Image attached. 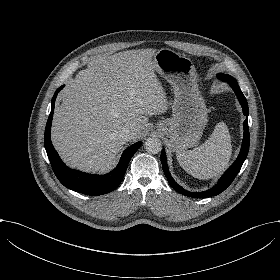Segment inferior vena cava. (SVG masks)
Masks as SVG:
<instances>
[{
    "label": "inferior vena cava",
    "mask_w": 280,
    "mask_h": 280,
    "mask_svg": "<svg viewBox=\"0 0 280 280\" xmlns=\"http://www.w3.org/2000/svg\"><path fill=\"white\" fill-rule=\"evenodd\" d=\"M118 137L127 142V141H130L133 139V134L132 132L130 131V129L128 128H122L120 131H119V134H118Z\"/></svg>",
    "instance_id": "inferior-vena-cava-1"
}]
</instances>
